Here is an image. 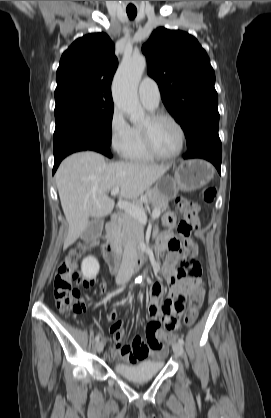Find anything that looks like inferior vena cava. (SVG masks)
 I'll use <instances>...</instances> for the list:
<instances>
[{"label": "inferior vena cava", "instance_id": "1", "mask_svg": "<svg viewBox=\"0 0 271 418\" xmlns=\"http://www.w3.org/2000/svg\"><path fill=\"white\" fill-rule=\"evenodd\" d=\"M136 257V243L135 239L130 237L127 239L124 246L122 262L116 276V283L122 284L130 280L134 272V259Z\"/></svg>", "mask_w": 271, "mask_h": 418}]
</instances>
